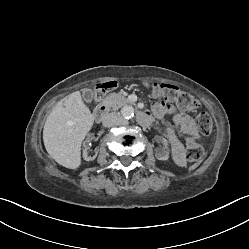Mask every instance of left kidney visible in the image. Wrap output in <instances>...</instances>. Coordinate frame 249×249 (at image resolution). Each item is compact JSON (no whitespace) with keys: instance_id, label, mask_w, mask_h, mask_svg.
Here are the masks:
<instances>
[{"instance_id":"obj_1","label":"left kidney","mask_w":249,"mask_h":249,"mask_svg":"<svg viewBox=\"0 0 249 249\" xmlns=\"http://www.w3.org/2000/svg\"><path fill=\"white\" fill-rule=\"evenodd\" d=\"M154 144L156 145L157 150L161 154V157H157V159L162 161L167 160L168 157L170 156V151L166 147L165 140L162 137H156L154 139Z\"/></svg>"}]
</instances>
